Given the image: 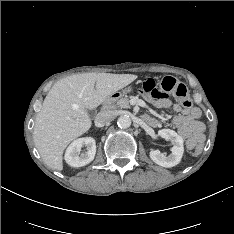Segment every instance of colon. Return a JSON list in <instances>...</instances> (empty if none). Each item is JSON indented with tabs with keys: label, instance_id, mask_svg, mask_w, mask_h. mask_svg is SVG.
<instances>
[{
	"label": "colon",
	"instance_id": "1",
	"mask_svg": "<svg viewBox=\"0 0 234 234\" xmlns=\"http://www.w3.org/2000/svg\"><path fill=\"white\" fill-rule=\"evenodd\" d=\"M141 90L143 93L155 98L174 96L184 108H190L192 105V100L186 86L173 77L168 76L163 78L159 84V88H157L156 82L153 79L145 78L141 81ZM191 148L194 149L195 154H199L202 151L200 145H193Z\"/></svg>",
	"mask_w": 234,
	"mask_h": 234
}]
</instances>
